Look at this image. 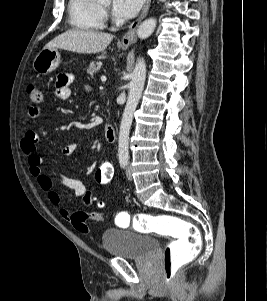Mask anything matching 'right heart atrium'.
Listing matches in <instances>:
<instances>
[{
    "label": "right heart atrium",
    "mask_w": 267,
    "mask_h": 301,
    "mask_svg": "<svg viewBox=\"0 0 267 301\" xmlns=\"http://www.w3.org/2000/svg\"><path fill=\"white\" fill-rule=\"evenodd\" d=\"M103 16H104V17L106 16V13H105V12H103Z\"/></svg>",
    "instance_id": "1"
}]
</instances>
